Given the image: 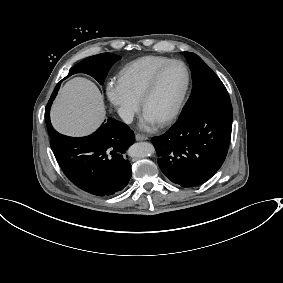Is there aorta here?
I'll use <instances>...</instances> for the list:
<instances>
[{
    "instance_id": "obj_1",
    "label": "aorta",
    "mask_w": 283,
    "mask_h": 283,
    "mask_svg": "<svg viewBox=\"0 0 283 283\" xmlns=\"http://www.w3.org/2000/svg\"><path fill=\"white\" fill-rule=\"evenodd\" d=\"M155 149L151 143L139 142L133 144L129 150L128 154L134 158H144L154 154Z\"/></svg>"
}]
</instances>
